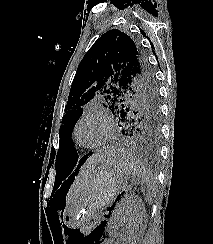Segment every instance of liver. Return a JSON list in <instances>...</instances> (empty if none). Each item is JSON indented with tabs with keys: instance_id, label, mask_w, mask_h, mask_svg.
Masks as SVG:
<instances>
[{
	"instance_id": "obj_1",
	"label": "liver",
	"mask_w": 213,
	"mask_h": 244,
	"mask_svg": "<svg viewBox=\"0 0 213 244\" xmlns=\"http://www.w3.org/2000/svg\"><path fill=\"white\" fill-rule=\"evenodd\" d=\"M108 153H96L92 155L80 170L75 182L71 186L70 192L67 197V203L74 197L76 190L84 183L87 176L95 169L98 163L104 161Z\"/></svg>"
}]
</instances>
